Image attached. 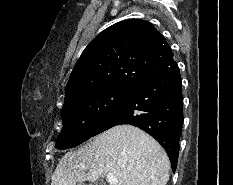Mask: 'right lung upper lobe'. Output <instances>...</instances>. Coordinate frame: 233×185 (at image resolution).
<instances>
[{
	"instance_id": "cb5924a9",
	"label": "right lung upper lobe",
	"mask_w": 233,
	"mask_h": 185,
	"mask_svg": "<svg viewBox=\"0 0 233 185\" xmlns=\"http://www.w3.org/2000/svg\"><path fill=\"white\" fill-rule=\"evenodd\" d=\"M172 62L169 45L150 22L121 21L101 32L82 52L65 89V104L102 89H132Z\"/></svg>"
}]
</instances>
